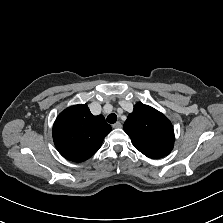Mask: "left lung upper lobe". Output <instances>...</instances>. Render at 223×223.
<instances>
[{
    "instance_id": "5c2ea615",
    "label": "left lung upper lobe",
    "mask_w": 223,
    "mask_h": 223,
    "mask_svg": "<svg viewBox=\"0 0 223 223\" xmlns=\"http://www.w3.org/2000/svg\"><path fill=\"white\" fill-rule=\"evenodd\" d=\"M123 128L134 147L149 158H161L173 149L174 131L171 122L148 105L137 103Z\"/></svg>"
}]
</instances>
